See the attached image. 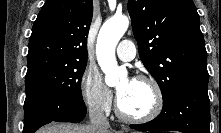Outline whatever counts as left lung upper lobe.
Returning a JSON list of instances; mask_svg holds the SVG:
<instances>
[{"label": "left lung upper lobe", "mask_w": 221, "mask_h": 133, "mask_svg": "<svg viewBox=\"0 0 221 133\" xmlns=\"http://www.w3.org/2000/svg\"><path fill=\"white\" fill-rule=\"evenodd\" d=\"M140 58L163 102L190 83L208 84L207 52L192 0H129Z\"/></svg>", "instance_id": "5c2ea615"}]
</instances>
